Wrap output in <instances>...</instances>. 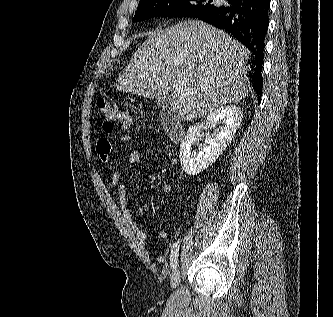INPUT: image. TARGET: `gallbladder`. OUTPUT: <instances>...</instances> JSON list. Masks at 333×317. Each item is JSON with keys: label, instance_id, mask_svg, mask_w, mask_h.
I'll list each match as a JSON object with an SVG mask.
<instances>
[{"label": "gallbladder", "instance_id": "gallbladder-1", "mask_svg": "<svg viewBox=\"0 0 333 317\" xmlns=\"http://www.w3.org/2000/svg\"><path fill=\"white\" fill-rule=\"evenodd\" d=\"M158 107L168 109L172 105V98L170 96H159L155 99Z\"/></svg>", "mask_w": 333, "mask_h": 317}]
</instances>
